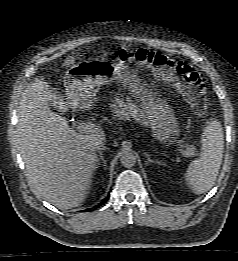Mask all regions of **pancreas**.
<instances>
[{
	"mask_svg": "<svg viewBox=\"0 0 238 261\" xmlns=\"http://www.w3.org/2000/svg\"><path fill=\"white\" fill-rule=\"evenodd\" d=\"M109 106L113 111V116L121 121L134 119L141 123L146 122L142 109L136 107L134 104L125 103L118 99L116 102L111 101ZM195 150L193 145H186V151L194 153Z\"/></svg>",
	"mask_w": 238,
	"mask_h": 261,
	"instance_id": "1",
	"label": "pancreas"
}]
</instances>
